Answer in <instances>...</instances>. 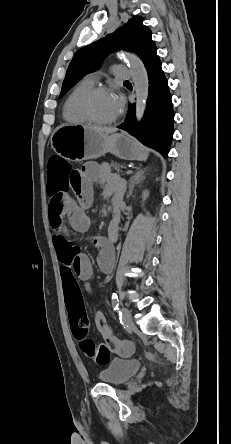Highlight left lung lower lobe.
I'll return each mask as SVG.
<instances>
[{"instance_id":"obj_1","label":"left lung lower lobe","mask_w":231,"mask_h":444,"mask_svg":"<svg viewBox=\"0 0 231 444\" xmlns=\"http://www.w3.org/2000/svg\"><path fill=\"white\" fill-rule=\"evenodd\" d=\"M149 79V95L144 117L136 123L135 104H130L126 120L118 128L128 131L143 144L167 156L173 135L174 112L167 79L159 56L154 52L144 63Z\"/></svg>"}]
</instances>
